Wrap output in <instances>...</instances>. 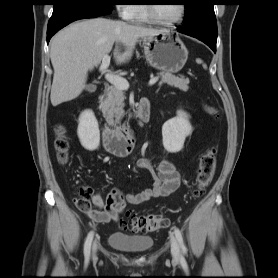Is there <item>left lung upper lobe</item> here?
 <instances>
[{
    "instance_id": "obj_1",
    "label": "left lung upper lobe",
    "mask_w": 278,
    "mask_h": 278,
    "mask_svg": "<svg viewBox=\"0 0 278 278\" xmlns=\"http://www.w3.org/2000/svg\"><path fill=\"white\" fill-rule=\"evenodd\" d=\"M186 8L184 25L203 24L208 31L217 36V22L214 13V0H184Z\"/></svg>"
}]
</instances>
